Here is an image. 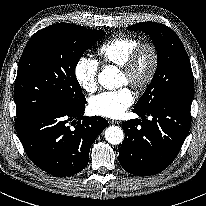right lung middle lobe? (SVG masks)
<instances>
[{
    "label": "right lung middle lobe",
    "mask_w": 206,
    "mask_h": 206,
    "mask_svg": "<svg viewBox=\"0 0 206 206\" xmlns=\"http://www.w3.org/2000/svg\"><path fill=\"white\" fill-rule=\"evenodd\" d=\"M102 30L57 23L36 32L21 56L15 80L16 117L35 110L77 105L85 100L75 68Z\"/></svg>",
    "instance_id": "obj_1"
}]
</instances>
